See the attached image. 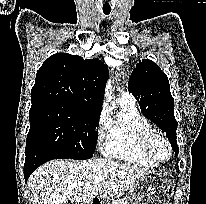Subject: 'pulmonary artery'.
Instances as JSON below:
<instances>
[{"instance_id":"1","label":"pulmonary artery","mask_w":206,"mask_h":204,"mask_svg":"<svg viewBox=\"0 0 206 204\" xmlns=\"http://www.w3.org/2000/svg\"><path fill=\"white\" fill-rule=\"evenodd\" d=\"M119 99L122 102L135 105L134 97L127 91L121 92L120 95H119Z\"/></svg>"}]
</instances>
